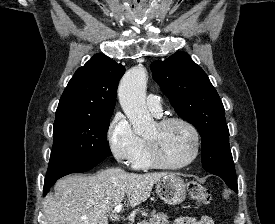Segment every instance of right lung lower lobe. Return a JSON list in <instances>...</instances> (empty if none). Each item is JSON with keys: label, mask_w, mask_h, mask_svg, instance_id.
Listing matches in <instances>:
<instances>
[{"label": "right lung lower lobe", "mask_w": 275, "mask_h": 224, "mask_svg": "<svg viewBox=\"0 0 275 224\" xmlns=\"http://www.w3.org/2000/svg\"><path fill=\"white\" fill-rule=\"evenodd\" d=\"M105 158H102V159H99V160H96L92 163H89V164H86V165H82V166H77V167H73V168H70V169H66L56 175H51V176H46L45 178V184H44V190H43V195L45 196L50 187L52 185L55 184V182L65 176V175H68V174H71V173H82V172H86L88 170H90L91 168H93L94 166H96L98 163H100L101 161H103Z\"/></svg>", "instance_id": "right-lung-lower-lobe-1"}]
</instances>
